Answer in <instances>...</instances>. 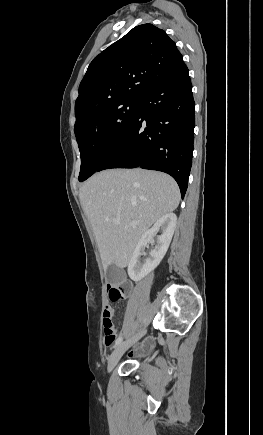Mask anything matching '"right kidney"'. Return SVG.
<instances>
[{
  "label": "right kidney",
  "instance_id": "ca27d5eb",
  "mask_svg": "<svg viewBox=\"0 0 263 435\" xmlns=\"http://www.w3.org/2000/svg\"><path fill=\"white\" fill-rule=\"evenodd\" d=\"M176 222L177 217L174 213L165 214L142 235L128 265V275L133 281H140L160 264L171 243ZM159 231L161 235L157 236V244L150 251L149 257L141 259V256H146L145 248L148 243Z\"/></svg>",
  "mask_w": 263,
  "mask_h": 435
}]
</instances>
